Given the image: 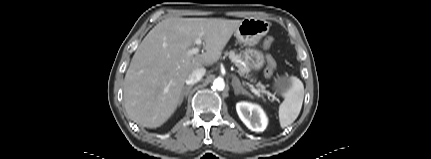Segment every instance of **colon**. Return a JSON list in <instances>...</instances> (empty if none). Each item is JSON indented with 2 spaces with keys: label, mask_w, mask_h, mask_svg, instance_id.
<instances>
[{
  "label": "colon",
  "mask_w": 431,
  "mask_h": 159,
  "mask_svg": "<svg viewBox=\"0 0 431 159\" xmlns=\"http://www.w3.org/2000/svg\"><path fill=\"white\" fill-rule=\"evenodd\" d=\"M273 42H274L273 37H270V36L267 37L263 43L264 48L269 49L271 47V45L273 44ZM266 63H267V66H266L264 74L267 78H271L273 76L274 70L276 68V61L271 55H267L266 56Z\"/></svg>",
  "instance_id": "colon-1"
}]
</instances>
